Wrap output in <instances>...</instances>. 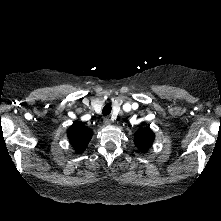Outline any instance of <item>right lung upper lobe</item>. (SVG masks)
I'll return each instance as SVG.
<instances>
[{
    "label": "right lung upper lobe",
    "mask_w": 221,
    "mask_h": 221,
    "mask_svg": "<svg viewBox=\"0 0 221 221\" xmlns=\"http://www.w3.org/2000/svg\"><path fill=\"white\" fill-rule=\"evenodd\" d=\"M67 135L76 153H82L91 140L92 130L77 122L69 127Z\"/></svg>",
    "instance_id": "obj_1"
}]
</instances>
